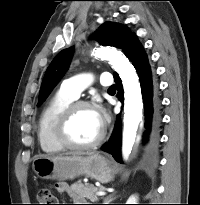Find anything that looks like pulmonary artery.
I'll use <instances>...</instances> for the list:
<instances>
[{"instance_id":"e3ab8cb5","label":"pulmonary artery","mask_w":200,"mask_h":205,"mask_svg":"<svg viewBox=\"0 0 200 205\" xmlns=\"http://www.w3.org/2000/svg\"><path fill=\"white\" fill-rule=\"evenodd\" d=\"M94 81V77L90 73H83L64 80L60 90L70 97L77 99L81 92L86 89ZM102 86H110L112 77L109 73H102L99 77Z\"/></svg>"}]
</instances>
